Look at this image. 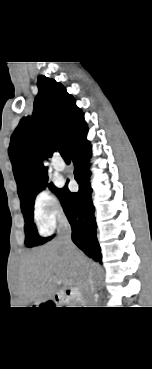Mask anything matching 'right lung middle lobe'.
Wrapping results in <instances>:
<instances>
[{
	"label": "right lung middle lobe",
	"mask_w": 152,
	"mask_h": 369,
	"mask_svg": "<svg viewBox=\"0 0 152 369\" xmlns=\"http://www.w3.org/2000/svg\"><path fill=\"white\" fill-rule=\"evenodd\" d=\"M48 177H45L40 182L35 184L32 188L27 190L24 197L21 200V211L24 215L25 219V245L27 247H34L41 244L46 243L51 240L53 237L49 238H41L33 223V206L36 195L43 190L46 186H48L57 196L60 189H57L52 183L47 185Z\"/></svg>",
	"instance_id": "obj_1"
}]
</instances>
